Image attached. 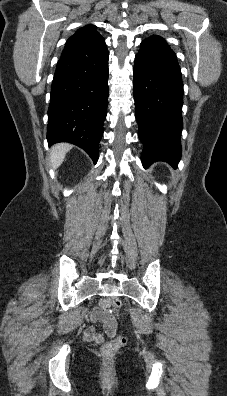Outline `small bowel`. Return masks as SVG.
<instances>
[{"instance_id": "obj_1", "label": "small bowel", "mask_w": 227, "mask_h": 396, "mask_svg": "<svg viewBox=\"0 0 227 396\" xmlns=\"http://www.w3.org/2000/svg\"><path fill=\"white\" fill-rule=\"evenodd\" d=\"M109 303V299L104 298L100 301L99 308L92 311L93 324L84 331L83 337L85 340L101 344L104 342L105 335L110 337L115 335L116 322L107 313ZM98 327H101L102 331H98Z\"/></svg>"}]
</instances>
